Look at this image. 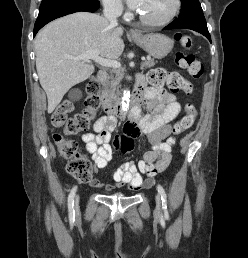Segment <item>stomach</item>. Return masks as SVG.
<instances>
[{
	"label": "stomach",
	"mask_w": 248,
	"mask_h": 258,
	"mask_svg": "<svg viewBox=\"0 0 248 258\" xmlns=\"http://www.w3.org/2000/svg\"><path fill=\"white\" fill-rule=\"evenodd\" d=\"M132 40L156 59L166 57L174 45L171 38L159 33L137 34L132 36Z\"/></svg>",
	"instance_id": "1"
}]
</instances>
